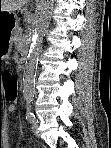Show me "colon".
Here are the masks:
<instances>
[{
	"instance_id": "obj_1",
	"label": "colon",
	"mask_w": 111,
	"mask_h": 148,
	"mask_svg": "<svg viewBox=\"0 0 111 148\" xmlns=\"http://www.w3.org/2000/svg\"><path fill=\"white\" fill-rule=\"evenodd\" d=\"M0 83L4 88V97L8 101H15L18 96V79L16 75L10 71L0 72Z\"/></svg>"
}]
</instances>
